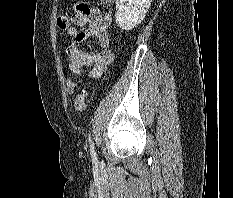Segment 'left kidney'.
Wrapping results in <instances>:
<instances>
[{
  "mask_svg": "<svg viewBox=\"0 0 233 198\" xmlns=\"http://www.w3.org/2000/svg\"><path fill=\"white\" fill-rule=\"evenodd\" d=\"M152 0H116V24L122 30H131L145 18Z\"/></svg>",
  "mask_w": 233,
  "mask_h": 198,
  "instance_id": "left-kidney-1",
  "label": "left kidney"
}]
</instances>
